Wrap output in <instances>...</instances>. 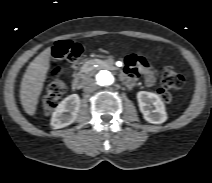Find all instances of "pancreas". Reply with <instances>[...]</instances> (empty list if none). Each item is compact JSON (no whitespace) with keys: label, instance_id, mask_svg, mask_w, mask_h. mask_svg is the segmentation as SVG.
Listing matches in <instances>:
<instances>
[{"label":"pancreas","instance_id":"pancreas-1","mask_svg":"<svg viewBox=\"0 0 212 183\" xmlns=\"http://www.w3.org/2000/svg\"><path fill=\"white\" fill-rule=\"evenodd\" d=\"M94 64H98L101 68H106V69H114L112 66V62L105 60V61H100V60H89L88 62L85 63L84 67L85 69L91 68Z\"/></svg>","mask_w":212,"mask_h":183}]
</instances>
